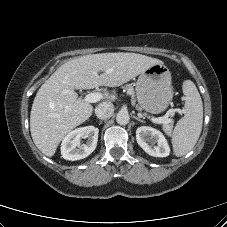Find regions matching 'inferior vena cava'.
Segmentation results:
<instances>
[{"label": "inferior vena cava", "instance_id": "1", "mask_svg": "<svg viewBox=\"0 0 227 227\" xmlns=\"http://www.w3.org/2000/svg\"><path fill=\"white\" fill-rule=\"evenodd\" d=\"M113 113L114 105L111 102H103L95 108V114L101 120L109 119Z\"/></svg>", "mask_w": 227, "mask_h": 227}]
</instances>
